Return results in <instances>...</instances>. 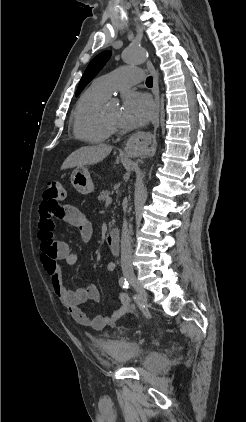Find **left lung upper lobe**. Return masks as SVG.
Returning <instances> with one entry per match:
<instances>
[{
  "label": "left lung upper lobe",
  "instance_id": "1",
  "mask_svg": "<svg viewBox=\"0 0 246 422\" xmlns=\"http://www.w3.org/2000/svg\"><path fill=\"white\" fill-rule=\"evenodd\" d=\"M110 56L111 51H104L91 60L79 82L76 96H78L85 86L98 74L105 63L109 60Z\"/></svg>",
  "mask_w": 246,
  "mask_h": 422
}]
</instances>
